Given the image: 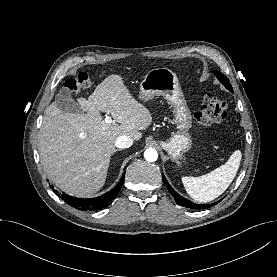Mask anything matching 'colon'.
Wrapping results in <instances>:
<instances>
[{"label":"colon","mask_w":277,"mask_h":277,"mask_svg":"<svg viewBox=\"0 0 277 277\" xmlns=\"http://www.w3.org/2000/svg\"><path fill=\"white\" fill-rule=\"evenodd\" d=\"M91 86V80L86 73H80L76 77L64 82V87L71 93H77L80 89ZM227 117V104L221 98L207 93L204 95L203 106L194 114L197 125L208 127L223 122Z\"/></svg>","instance_id":"obj_1"}]
</instances>
